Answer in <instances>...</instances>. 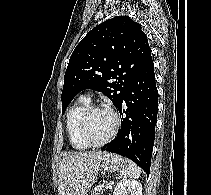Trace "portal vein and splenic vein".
I'll use <instances>...</instances> for the list:
<instances>
[{"mask_svg": "<svg viewBox=\"0 0 211 195\" xmlns=\"http://www.w3.org/2000/svg\"><path fill=\"white\" fill-rule=\"evenodd\" d=\"M107 187H108V188H111V187H112V183H108V184H107Z\"/></svg>", "mask_w": 211, "mask_h": 195, "instance_id": "18ae733b", "label": "portal vein and splenic vein"}]
</instances>
